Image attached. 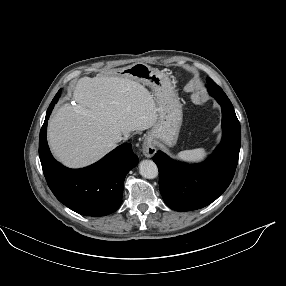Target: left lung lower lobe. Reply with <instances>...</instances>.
Here are the masks:
<instances>
[{
  "instance_id": "obj_1",
  "label": "left lung lower lobe",
  "mask_w": 286,
  "mask_h": 286,
  "mask_svg": "<svg viewBox=\"0 0 286 286\" xmlns=\"http://www.w3.org/2000/svg\"><path fill=\"white\" fill-rule=\"evenodd\" d=\"M222 107L223 136L204 162L187 165L158 151L153 161L159 169V188L165 203L176 211L203 208L217 199L234 176L241 144L240 123L228 99H216Z\"/></svg>"
}]
</instances>
